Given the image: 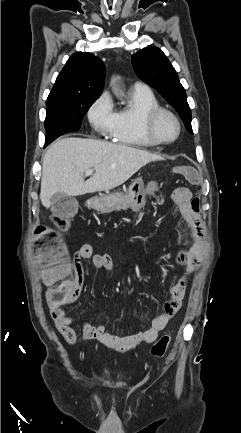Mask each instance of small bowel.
<instances>
[{"label":"small bowel","mask_w":241,"mask_h":433,"mask_svg":"<svg viewBox=\"0 0 241 433\" xmlns=\"http://www.w3.org/2000/svg\"><path fill=\"white\" fill-rule=\"evenodd\" d=\"M195 199L192 192L184 187L176 189L173 193V201L191 229L192 245L189 251L179 252L176 256V263L185 268L184 276L171 287L170 299L164 305V312L155 317L148 328L140 329L127 335L109 333L102 324L93 325L85 322L80 327L83 338L97 341L106 348L122 352L134 351L140 345L152 343L157 339L158 333L167 326L181 308L186 291L185 276L199 268L205 255L206 245L203 237V223L199 216V201L197 208L193 206ZM83 259H91L92 265L96 269L108 272L113 271V262L108 255L93 254L89 244L82 245L72 256V268L75 275L73 294L61 306L73 303L82 289L84 279ZM182 281L185 283L184 286H180ZM61 306L50 308L51 317L65 341L69 345H74L77 341V334L74 328L75 321L68 316ZM112 342H124L126 345L123 349H116L112 345Z\"/></svg>","instance_id":"small-bowel-1"}]
</instances>
